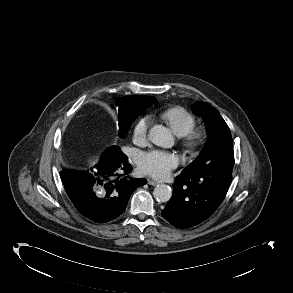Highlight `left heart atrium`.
Returning <instances> with one entry per match:
<instances>
[{"mask_svg": "<svg viewBox=\"0 0 293 293\" xmlns=\"http://www.w3.org/2000/svg\"><path fill=\"white\" fill-rule=\"evenodd\" d=\"M177 165L178 158L176 155L158 150L143 153L138 160L139 169L144 174L156 179L167 177Z\"/></svg>", "mask_w": 293, "mask_h": 293, "instance_id": "left-heart-atrium-1", "label": "left heart atrium"}]
</instances>
